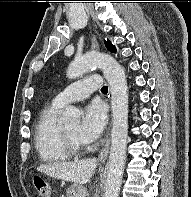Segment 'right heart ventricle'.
<instances>
[{
    "instance_id": "e07e8e85",
    "label": "right heart ventricle",
    "mask_w": 191,
    "mask_h": 197,
    "mask_svg": "<svg viewBox=\"0 0 191 197\" xmlns=\"http://www.w3.org/2000/svg\"><path fill=\"white\" fill-rule=\"evenodd\" d=\"M61 109L53 102L47 105L35 126V148L40 160L45 163H60L71 157L64 144L62 127L58 124Z\"/></svg>"
}]
</instances>
